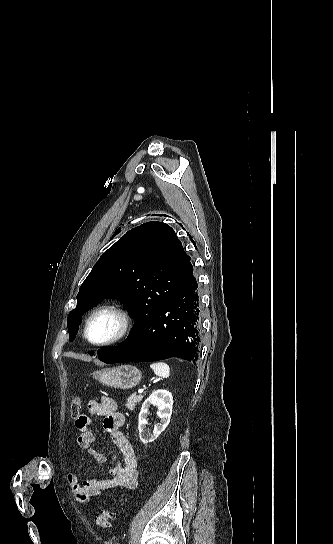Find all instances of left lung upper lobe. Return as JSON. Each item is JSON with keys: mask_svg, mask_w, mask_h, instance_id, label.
I'll return each instance as SVG.
<instances>
[{"mask_svg": "<svg viewBox=\"0 0 333 544\" xmlns=\"http://www.w3.org/2000/svg\"><path fill=\"white\" fill-rule=\"evenodd\" d=\"M174 230L152 221L129 230L97 261L80 287L67 326L72 340L82 314L105 297L123 299L135 326L157 313L193 272Z\"/></svg>", "mask_w": 333, "mask_h": 544, "instance_id": "1", "label": "left lung upper lobe"}]
</instances>
